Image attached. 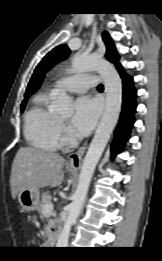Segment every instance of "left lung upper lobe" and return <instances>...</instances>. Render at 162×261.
<instances>
[{
  "label": "left lung upper lobe",
  "instance_id": "obj_1",
  "mask_svg": "<svg viewBox=\"0 0 162 261\" xmlns=\"http://www.w3.org/2000/svg\"><path fill=\"white\" fill-rule=\"evenodd\" d=\"M103 41L106 45V54L105 57L112 63H114L117 67V69L121 68V65L119 64V55L116 51L115 45L108 34V32H104L102 34ZM70 53L69 48L67 45H60L56 48H54L52 51H50L37 65L30 82L28 84V87L26 89V94L31 91L34 84L38 81V79L43 75V73L47 70H49L54 64L64 60L68 54Z\"/></svg>",
  "mask_w": 162,
  "mask_h": 261
}]
</instances>
